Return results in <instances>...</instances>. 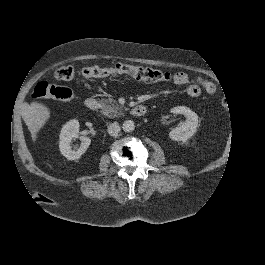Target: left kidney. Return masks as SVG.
<instances>
[{"label":"left kidney","instance_id":"1","mask_svg":"<svg viewBox=\"0 0 265 265\" xmlns=\"http://www.w3.org/2000/svg\"><path fill=\"white\" fill-rule=\"evenodd\" d=\"M171 113L184 115L186 121L181 126L170 131V138L175 141L186 142L197 130L198 115L185 106L174 107L171 109Z\"/></svg>","mask_w":265,"mask_h":265}]
</instances>
